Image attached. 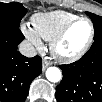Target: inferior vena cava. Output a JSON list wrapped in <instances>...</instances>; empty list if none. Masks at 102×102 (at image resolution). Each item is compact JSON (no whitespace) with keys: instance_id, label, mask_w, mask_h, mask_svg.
<instances>
[{"instance_id":"obj_1","label":"inferior vena cava","mask_w":102,"mask_h":102,"mask_svg":"<svg viewBox=\"0 0 102 102\" xmlns=\"http://www.w3.org/2000/svg\"><path fill=\"white\" fill-rule=\"evenodd\" d=\"M19 52L26 57H34L37 55L35 47L28 41H22L18 46Z\"/></svg>"}]
</instances>
